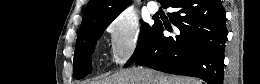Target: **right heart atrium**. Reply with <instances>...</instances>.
Segmentation results:
<instances>
[{
  "label": "right heart atrium",
  "instance_id": "d8ad5b80",
  "mask_svg": "<svg viewBox=\"0 0 260 84\" xmlns=\"http://www.w3.org/2000/svg\"><path fill=\"white\" fill-rule=\"evenodd\" d=\"M112 59L118 65L126 63L140 45V27L129 16L115 17L106 26Z\"/></svg>",
  "mask_w": 260,
  "mask_h": 84
}]
</instances>
